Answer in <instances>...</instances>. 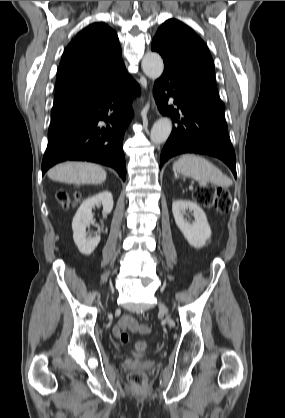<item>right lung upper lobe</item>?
Instances as JSON below:
<instances>
[{
  "label": "right lung upper lobe",
  "instance_id": "right-lung-upper-lobe-1",
  "mask_svg": "<svg viewBox=\"0 0 285 418\" xmlns=\"http://www.w3.org/2000/svg\"><path fill=\"white\" fill-rule=\"evenodd\" d=\"M128 76L116 32L105 23H93L79 32L63 53L53 109L80 105Z\"/></svg>",
  "mask_w": 285,
  "mask_h": 418
}]
</instances>
